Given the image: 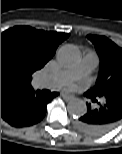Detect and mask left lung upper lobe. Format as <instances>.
<instances>
[{"mask_svg":"<svg viewBox=\"0 0 122 154\" xmlns=\"http://www.w3.org/2000/svg\"><path fill=\"white\" fill-rule=\"evenodd\" d=\"M100 58V73L95 86L85 95L102 100L122 89V48L104 36L88 35Z\"/></svg>","mask_w":122,"mask_h":154,"instance_id":"obj_1","label":"left lung upper lobe"}]
</instances>
